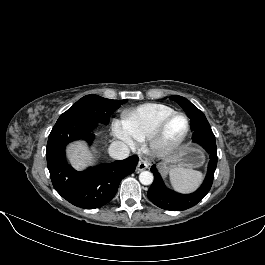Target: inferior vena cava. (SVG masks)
<instances>
[{"mask_svg": "<svg viewBox=\"0 0 265 265\" xmlns=\"http://www.w3.org/2000/svg\"><path fill=\"white\" fill-rule=\"evenodd\" d=\"M109 155L116 160H123L129 156L130 149L122 141H114L108 148Z\"/></svg>", "mask_w": 265, "mask_h": 265, "instance_id": "obj_1", "label": "inferior vena cava"}]
</instances>
